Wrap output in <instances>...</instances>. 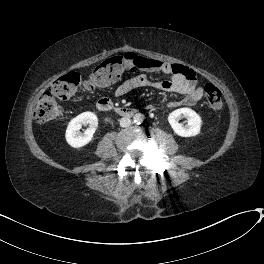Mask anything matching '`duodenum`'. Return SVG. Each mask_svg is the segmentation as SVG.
Listing matches in <instances>:
<instances>
[{
	"label": "duodenum",
	"mask_w": 264,
	"mask_h": 264,
	"mask_svg": "<svg viewBox=\"0 0 264 264\" xmlns=\"http://www.w3.org/2000/svg\"><path fill=\"white\" fill-rule=\"evenodd\" d=\"M96 108L100 112H114L122 117H131L137 113L135 108L114 106L108 98L98 100Z\"/></svg>",
	"instance_id": "1"
}]
</instances>
